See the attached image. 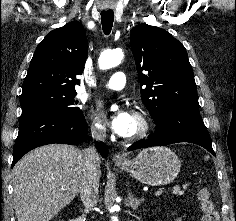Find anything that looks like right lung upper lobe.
Segmentation results:
<instances>
[{
  "label": "right lung upper lobe",
  "instance_id": "cb5924a9",
  "mask_svg": "<svg viewBox=\"0 0 236 221\" xmlns=\"http://www.w3.org/2000/svg\"><path fill=\"white\" fill-rule=\"evenodd\" d=\"M88 52V43L81 23L73 21L56 28L37 46L23 83L22 94L39 89L75 91L80 84Z\"/></svg>",
  "mask_w": 236,
  "mask_h": 221
}]
</instances>
